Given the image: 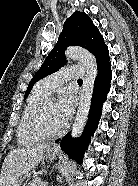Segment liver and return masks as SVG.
<instances>
[{
    "instance_id": "6515ba94",
    "label": "liver",
    "mask_w": 138,
    "mask_h": 186,
    "mask_svg": "<svg viewBox=\"0 0 138 186\" xmlns=\"http://www.w3.org/2000/svg\"><path fill=\"white\" fill-rule=\"evenodd\" d=\"M48 144L12 149L6 156L0 175V186H16L43 159Z\"/></svg>"
}]
</instances>
